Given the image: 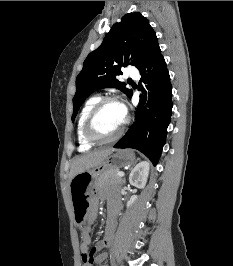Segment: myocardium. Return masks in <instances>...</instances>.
<instances>
[{
    "instance_id": "1",
    "label": "myocardium",
    "mask_w": 233,
    "mask_h": 266,
    "mask_svg": "<svg viewBox=\"0 0 233 266\" xmlns=\"http://www.w3.org/2000/svg\"><path fill=\"white\" fill-rule=\"evenodd\" d=\"M110 102L120 104L119 99L115 96L102 97L95 103V105L91 108V110L89 111L86 117L84 127H83V134H84L85 139L92 144L111 143L117 140L124 132L125 124H126L125 120L123 124L121 125V127L117 130V132L110 137H100L94 131V122H95V119L99 111L105 104L110 103Z\"/></svg>"
}]
</instances>
